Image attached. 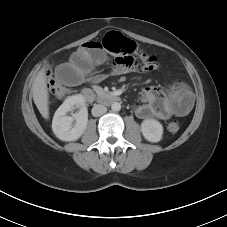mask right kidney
I'll list each match as a JSON object with an SVG mask.
<instances>
[{
	"label": "right kidney",
	"instance_id": "ca27d5eb",
	"mask_svg": "<svg viewBox=\"0 0 227 227\" xmlns=\"http://www.w3.org/2000/svg\"><path fill=\"white\" fill-rule=\"evenodd\" d=\"M80 107L74 117L66 116L67 112ZM76 120L75 125L73 122ZM88 123V111L85 99L81 94L69 96L57 109L52 121V130L55 136L62 141H76L84 133Z\"/></svg>",
	"mask_w": 227,
	"mask_h": 227
}]
</instances>
